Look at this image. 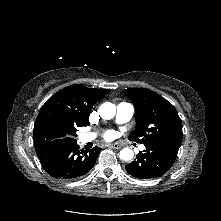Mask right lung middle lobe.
Instances as JSON below:
<instances>
[{"label": "right lung middle lobe", "mask_w": 221, "mask_h": 221, "mask_svg": "<svg viewBox=\"0 0 221 221\" xmlns=\"http://www.w3.org/2000/svg\"><path fill=\"white\" fill-rule=\"evenodd\" d=\"M83 125L63 117L45 115L36 119L34 145L37 153L76 143L77 127Z\"/></svg>", "instance_id": "1"}]
</instances>
